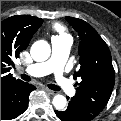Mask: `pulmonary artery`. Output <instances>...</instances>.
Here are the masks:
<instances>
[{"label": "pulmonary artery", "instance_id": "1", "mask_svg": "<svg viewBox=\"0 0 121 121\" xmlns=\"http://www.w3.org/2000/svg\"><path fill=\"white\" fill-rule=\"evenodd\" d=\"M71 38L67 35L54 37L52 39V55L45 62L35 63L23 69L28 75L34 77L54 74L57 85L68 95H74L75 90L64 73V66L71 48Z\"/></svg>", "mask_w": 121, "mask_h": 121}]
</instances>
